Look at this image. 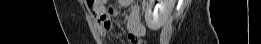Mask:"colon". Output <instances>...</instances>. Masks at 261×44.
Wrapping results in <instances>:
<instances>
[{
    "mask_svg": "<svg viewBox=\"0 0 261 44\" xmlns=\"http://www.w3.org/2000/svg\"><path fill=\"white\" fill-rule=\"evenodd\" d=\"M105 1L102 0H97V1H89L88 5L89 6H96L97 4H104Z\"/></svg>",
    "mask_w": 261,
    "mask_h": 44,
    "instance_id": "5ec220e1",
    "label": "colon"
}]
</instances>
